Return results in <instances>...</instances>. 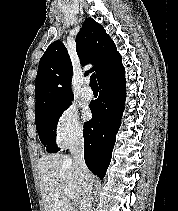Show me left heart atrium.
I'll list each match as a JSON object with an SVG mask.
<instances>
[{"mask_svg":"<svg viewBox=\"0 0 178 211\" xmlns=\"http://www.w3.org/2000/svg\"><path fill=\"white\" fill-rule=\"evenodd\" d=\"M91 117V112H90V110H85L84 111V118L86 119V120H88L89 118Z\"/></svg>","mask_w":178,"mask_h":211,"instance_id":"39dd6f15","label":"left heart atrium"}]
</instances>
